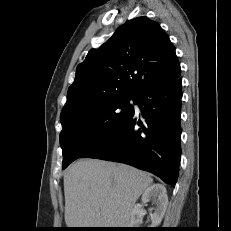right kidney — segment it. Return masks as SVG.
Listing matches in <instances>:
<instances>
[{
    "instance_id": "obj_1",
    "label": "right kidney",
    "mask_w": 231,
    "mask_h": 231,
    "mask_svg": "<svg viewBox=\"0 0 231 231\" xmlns=\"http://www.w3.org/2000/svg\"><path fill=\"white\" fill-rule=\"evenodd\" d=\"M149 200H152V204H154L155 206L151 209L154 210V212H150V217L152 221L151 226L155 228L161 223L167 209L168 196L166 188L162 184L151 185L143 193L142 203L145 204ZM144 215L145 210L142 208V205L138 204L137 206H135L131 213L130 228H138L139 225L142 223Z\"/></svg>"
}]
</instances>
